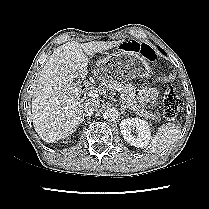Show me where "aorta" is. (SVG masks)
<instances>
[{"instance_id": "1", "label": "aorta", "mask_w": 209, "mask_h": 209, "mask_svg": "<svg viewBox=\"0 0 209 209\" xmlns=\"http://www.w3.org/2000/svg\"><path fill=\"white\" fill-rule=\"evenodd\" d=\"M103 118L108 122L116 121L119 118V112L114 107H108L103 112Z\"/></svg>"}]
</instances>
